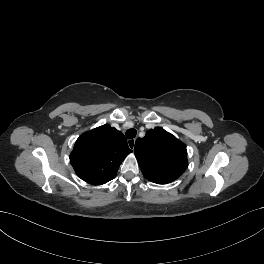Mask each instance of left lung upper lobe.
<instances>
[{"label": "left lung upper lobe", "instance_id": "1", "mask_svg": "<svg viewBox=\"0 0 264 264\" xmlns=\"http://www.w3.org/2000/svg\"><path fill=\"white\" fill-rule=\"evenodd\" d=\"M135 156L144 177L154 183H170L188 166L185 144L161 127L136 140Z\"/></svg>", "mask_w": 264, "mask_h": 264}]
</instances>
